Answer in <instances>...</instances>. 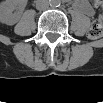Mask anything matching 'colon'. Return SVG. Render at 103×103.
Masks as SVG:
<instances>
[{
	"mask_svg": "<svg viewBox=\"0 0 103 103\" xmlns=\"http://www.w3.org/2000/svg\"><path fill=\"white\" fill-rule=\"evenodd\" d=\"M96 8L101 9L102 3L97 1L95 3ZM103 34V16L100 15L96 20H94L89 28L87 36L91 40L99 39Z\"/></svg>",
	"mask_w": 103,
	"mask_h": 103,
	"instance_id": "5ec220e1",
	"label": "colon"
}]
</instances>
